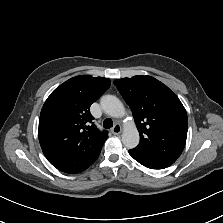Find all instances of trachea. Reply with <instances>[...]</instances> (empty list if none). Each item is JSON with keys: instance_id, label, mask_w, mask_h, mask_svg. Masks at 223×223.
<instances>
[{"instance_id": "obj_1", "label": "trachea", "mask_w": 223, "mask_h": 223, "mask_svg": "<svg viewBox=\"0 0 223 223\" xmlns=\"http://www.w3.org/2000/svg\"><path fill=\"white\" fill-rule=\"evenodd\" d=\"M103 127L106 129H109L111 127H113V122L110 118H107L103 121Z\"/></svg>"}]
</instances>
